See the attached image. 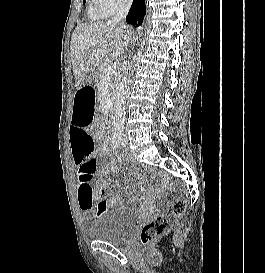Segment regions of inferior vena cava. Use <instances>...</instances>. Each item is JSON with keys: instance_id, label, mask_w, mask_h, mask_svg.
I'll use <instances>...</instances> for the list:
<instances>
[{"instance_id": "inferior-vena-cava-1", "label": "inferior vena cava", "mask_w": 265, "mask_h": 273, "mask_svg": "<svg viewBox=\"0 0 265 273\" xmlns=\"http://www.w3.org/2000/svg\"><path fill=\"white\" fill-rule=\"evenodd\" d=\"M132 0H122L119 4L116 15L110 21L111 24L121 23L122 26L126 27L124 24V20L129 12L131 7Z\"/></svg>"}]
</instances>
